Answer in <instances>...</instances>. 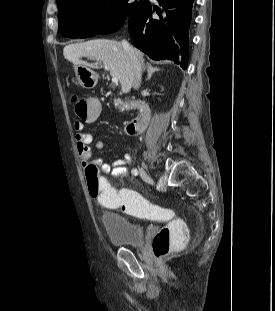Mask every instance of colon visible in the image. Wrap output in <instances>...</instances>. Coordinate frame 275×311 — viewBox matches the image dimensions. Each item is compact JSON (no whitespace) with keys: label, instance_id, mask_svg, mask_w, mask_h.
Here are the masks:
<instances>
[{"label":"colon","instance_id":"obj_1","mask_svg":"<svg viewBox=\"0 0 275 311\" xmlns=\"http://www.w3.org/2000/svg\"><path fill=\"white\" fill-rule=\"evenodd\" d=\"M73 105L78 120L84 125H93L100 116L99 97H74ZM88 190L92 198L110 206L121 207L126 212L140 216L158 218L166 223L155 233L152 249L157 259L166 257L170 252L182 247L186 241V225L176 217L175 211L149 203L139 196L138 190H116L111 178L98 175L97 167L91 165L86 171Z\"/></svg>","mask_w":275,"mask_h":311}]
</instances>
